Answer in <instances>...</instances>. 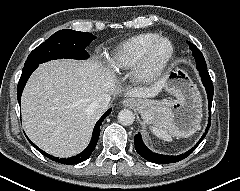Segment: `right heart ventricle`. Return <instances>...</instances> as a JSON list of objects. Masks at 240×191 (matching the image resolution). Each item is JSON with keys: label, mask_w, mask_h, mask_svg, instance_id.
Returning a JSON list of instances; mask_svg holds the SVG:
<instances>
[{"label": "right heart ventricle", "mask_w": 240, "mask_h": 191, "mask_svg": "<svg viewBox=\"0 0 240 191\" xmlns=\"http://www.w3.org/2000/svg\"><path fill=\"white\" fill-rule=\"evenodd\" d=\"M159 37L157 33H142L117 45L109 58L114 70H127L134 67L149 45Z\"/></svg>", "instance_id": "obj_1"}]
</instances>
